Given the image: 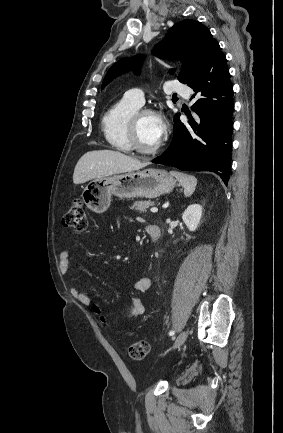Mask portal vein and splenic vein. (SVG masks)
I'll use <instances>...</instances> for the list:
<instances>
[{
	"label": "portal vein and splenic vein",
	"instance_id": "18ae733b",
	"mask_svg": "<svg viewBox=\"0 0 283 433\" xmlns=\"http://www.w3.org/2000/svg\"><path fill=\"white\" fill-rule=\"evenodd\" d=\"M151 212H158V208L157 206H152V208H150Z\"/></svg>",
	"mask_w": 283,
	"mask_h": 433
}]
</instances>
